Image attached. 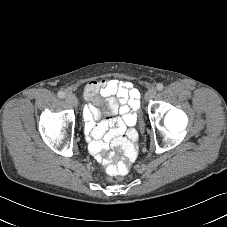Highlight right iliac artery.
<instances>
[{"label":"right iliac artery","mask_w":227,"mask_h":227,"mask_svg":"<svg viewBox=\"0 0 227 227\" xmlns=\"http://www.w3.org/2000/svg\"><path fill=\"white\" fill-rule=\"evenodd\" d=\"M58 97L63 99L65 97V93L63 91H59Z\"/></svg>","instance_id":"right-iliac-artery-1"}]
</instances>
